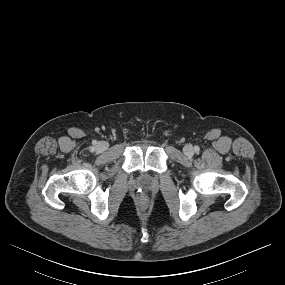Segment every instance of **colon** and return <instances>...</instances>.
<instances>
[{
	"label": "colon",
	"instance_id": "obj_1",
	"mask_svg": "<svg viewBox=\"0 0 285 285\" xmlns=\"http://www.w3.org/2000/svg\"><path fill=\"white\" fill-rule=\"evenodd\" d=\"M141 202L144 204V203H145V199H144V198H142V199H141Z\"/></svg>",
	"mask_w": 285,
	"mask_h": 285
}]
</instances>
